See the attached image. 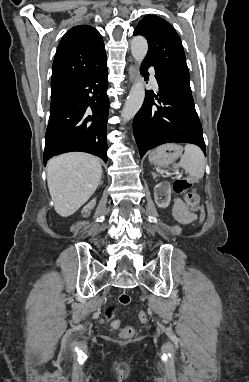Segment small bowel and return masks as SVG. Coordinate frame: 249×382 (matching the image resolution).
I'll list each match as a JSON object with an SVG mask.
<instances>
[{
	"instance_id": "small-bowel-1",
	"label": "small bowel",
	"mask_w": 249,
	"mask_h": 382,
	"mask_svg": "<svg viewBox=\"0 0 249 382\" xmlns=\"http://www.w3.org/2000/svg\"><path fill=\"white\" fill-rule=\"evenodd\" d=\"M174 214L176 219L183 224H190L195 220V216L186 210V208L180 200H177L175 202Z\"/></svg>"
}]
</instances>
